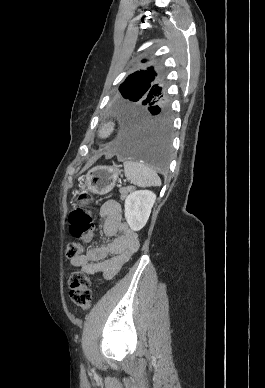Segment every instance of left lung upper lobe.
Listing matches in <instances>:
<instances>
[{"label": "left lung upper lobe", "instance_id": "obj_1", "mask_svg": "<svg viewBox=\"0 0 265 388\" xmlns=\"http://www.w3.org/2000/svg\"><path fill=\"white\" fill-rule=\"evenodd\" d=\"M119 91L126 100L118 104V110L168 106V96L162 89L161 79L156 77L153 67L129 75L119 87Z\"/></svg>", "mask_w": 265, "mask_h": 388}]
</instances>
